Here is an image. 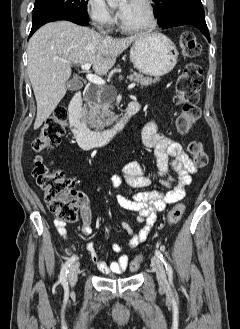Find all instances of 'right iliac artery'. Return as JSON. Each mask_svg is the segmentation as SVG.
Here are the masks:
<instances>
[{"mask_svg":"<svg viewBox=\"0 0 240 329\" xmlns=\"http://www.w3.org/2000/svg\"><path fill=\"white\" fill-rule=\"evenodd\" d=\"M77 259L76 255H73L70 257L62 266L61 271H60V278L59 281L63 285L64 288L67 289L68 287V282H67V274L69 272V267L71 264Z\"/></svg>","mask_w":240,"mask_h":329,"instance_id":"82829eb1","label":"right iliac artery"}]
</instances>
